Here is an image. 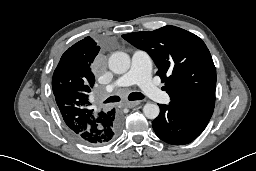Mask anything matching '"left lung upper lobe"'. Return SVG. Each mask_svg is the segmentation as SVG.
Segmentation results:
<instances>
[{
  "label": "left lung upper lobe",
  "instance_id": "obj_1",
  "mask_svg": "<svg viewBox=\"0 0 256 171\" xmlns=\"http://www.w3.org/2000/svg\"><path fill=\"white\" fill-rule=\"evenodd\" d=\"M122 37L152 57L171 102L211 118L216 70L207 46L198 36L175 26H164Z\"/></svg>",
  "mask_w": 256,
  "mask_h": 171
}]
</instances>
